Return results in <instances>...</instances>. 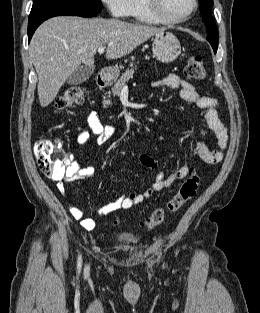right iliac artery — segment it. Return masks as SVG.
<instances>
[{
    "label": "right iliac artery",
    "instance_id": "right-iliac-artery-1",
    "mask_svg": "<svg viewBox=\"0 0 260 313\" xmlns=\"http://www.w3.org/2000/svg\"><path fill=\"white\" fill-rule=\"evenodd\" d=\"M81 266H82V259H81V255H79V256H78V262H77L78 274L80 273Z\"/></svg>",
    "mask_w": 260,
    "mask_h": 313
}]
</instances>
